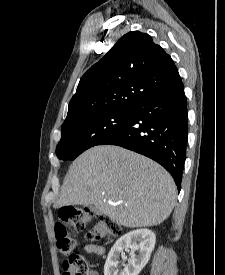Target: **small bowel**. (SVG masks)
Returning <instances> with one entry per match:
<instances>
[{
  "label": "small bowel",
  "mask_w": 225,
  "mask_h": 275,
  "mask_svg": "<svg viewBox=\"0 0 225 275\" xmlns=\"http://www.w3.org/2000/svg\"><path fill=\"white\" fill-rule=\"evenodd\" d=\"M83 252L87 254H96V255H104L105 248L101 245H96L92 243H85L83 246ZM90 275H99L97 272L92 271Z\"/></svg>",
  "instance_id": "c3829d8e"
}]
</instances>
